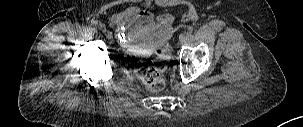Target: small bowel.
I'll list each match as a JSON object with an SVG mask.
<instances>
[{"mask_svg": "<svg viewBox=\"0 0 303 127\" xmlns=\"http://www.w3.org/2000/svg\"><path fill=\"white\" fill-rule=\"evenodd\" d=\"M109 22L120 40H125L127 33L131 34L139 42L135 49L142 53L160 46L172 35V18L166 14L155 17L143 6L129 7L113 14Z\"/></svg>", "mask_w": 303, "mask_h": 127, "instance_id": "1", "label": "small bowel"}]
</instances>
